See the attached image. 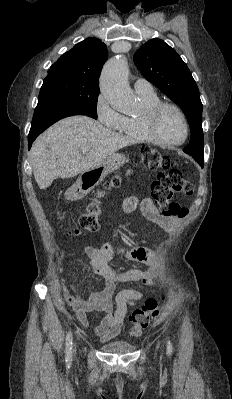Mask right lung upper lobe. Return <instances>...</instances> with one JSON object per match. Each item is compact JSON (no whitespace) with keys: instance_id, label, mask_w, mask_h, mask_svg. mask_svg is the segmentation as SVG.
<instances>
[{"instance_id":"cb5924a9","label":"right lung upper lobe","mask_w":232,"mask_h":399,"mask_svg":"<svg viewBox=\"0 0 232 399\" xmlns=\"http://www.w3.org/2000/svg\"><path fill=\"white\" fill-rule=\"evenodd\" d=\"M108 57L107 47L97 38H87L63 54L44 80H61L90 89H99V76Z\"/></svg>"}]
</instances>
